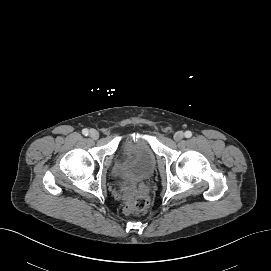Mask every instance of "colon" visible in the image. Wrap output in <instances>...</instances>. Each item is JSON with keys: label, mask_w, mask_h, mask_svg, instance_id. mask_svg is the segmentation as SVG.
I'll use <instances>...</instances> for the list:
<instances>
[{"label": "colon", "mask_w": 271, "mask_h": 271, "mask_svg": "<svg viewBox=\"0 0 271 271\" xmlns=\"http://www.w3.org/2000/svg\"><path fill=\"white\" fill-rule=\"evenodd\" d=\"M148 207V200L144 197L136 198L134 201L126 205L125 210L129 214L143 213Z\"/></svg>", "instance_id": "colon-1"}]
</instances>
